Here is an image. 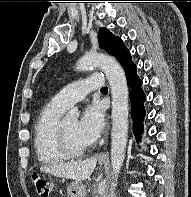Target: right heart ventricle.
<instances>
[{
	"instance_id": "1",
	"label": "right heart ventricle",
	"mask_w": 191,
	"mask_h": 197,
	"mask_svg": "<svg viewBox=\"0 0 191 197\" xmlns=\"http://www.w3.org/2000/svg\"><path fill=\"white\" fill-rule=\"evenodd\" d=\"M65 109L49 102L40 112L34 126V150L42 164H58L67 157L61 150L57 129Z\"/></svg>"
}]
</instances>
